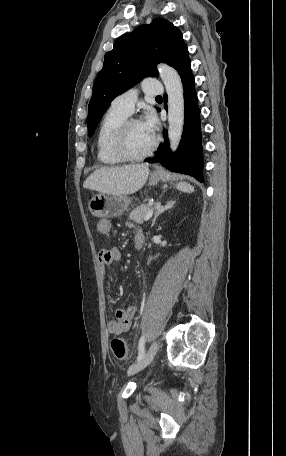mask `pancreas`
Here are the masks:
<instances>
[{
	"label": "pancreas",
	"instance_id": "1",
	"mask_svg": "<svg viewBox=\"0 0 286 456\" xmlns=\"http://www.w3.org/2000/svg\"><path fill=\"white\" fill-rule=\"evenodd\" d=\"M151 207L148 204H142L135 209H133L129 215V219L133 220L136 223H143L147 213L150 211Z\"/></svg>",
	"mask_w": 286,
	"mask_h": 456
}]
</instances>
